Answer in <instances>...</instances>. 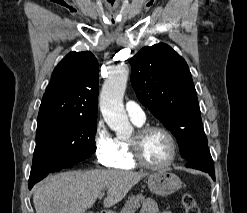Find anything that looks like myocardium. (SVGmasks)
Returning <instances> with one entry per match:
<instances>
[{"label": "myocardium", "instance_id": "1", "mask_svg": "<svg viewBox=\"0 0 247 213\" xmlns=\"http://www.w3.org/2000/svg\"><path fill=\"white\" fill-rule=\"evenodd\" d=\"M152 131H160L162 132L168 139L170 143V155L168 160L160 165H154L146 160H144L142 154H141V142L142 139L150 132ZM128 147L131 159L133 162L143 168L149 169V170H165L169 168L177 157L178 152V144L176 141V138L172 134V132L167 129L164 126L161 125H144L139 127L133 137L128 141Z\"/></svg>", "mask_w": 247, "mask_h": 213}]
</instances>
